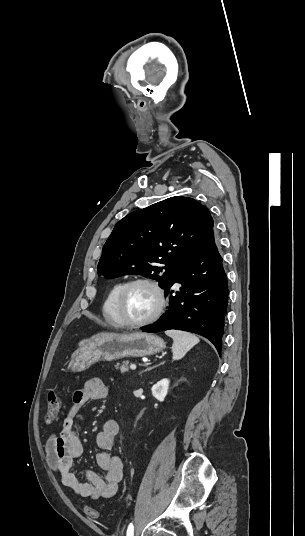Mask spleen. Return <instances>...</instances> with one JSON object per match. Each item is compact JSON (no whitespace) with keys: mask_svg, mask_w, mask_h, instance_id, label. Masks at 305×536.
<instances>
[{"mask_svg":"<svg viewBox=\"0 0 305 536\" xmlns=\"http://www.w3.org/2000/svg\"><path fill=\"white\" fill-rule=\"evenodd\" d=\"M165 334L173 340V360H181V358H184L185 354H187V352H189L193 346H196V344H199L200 342L197 336H194V334H189V332L167 330Z\"/></svg>","mask_w":305,"mask_h":536,"instance_id":"3e777b00","label":"spleen"}]
</instances>
